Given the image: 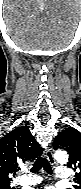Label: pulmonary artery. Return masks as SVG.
<instances>
[{
	"mask_svg": "<svg viewBox=\"0 0 81 189\" xmlns=\"http://www.w3.org/2000/svg\"><path fill=\"white\" fill-rule=\"evenodd\" d=\"M55 175L60 181H66L70 179V170L67 167L58 166L55 169ZM41 177L36 175H24L18 177L16 183L20 186L29 187L37 185L41 182Z\"/></svg>",
	"mask_w": 81,
	"mask_h": 189,
	"instance_id": "obj_1",
	"label": "pulmonary artery"
}]
</instances>
